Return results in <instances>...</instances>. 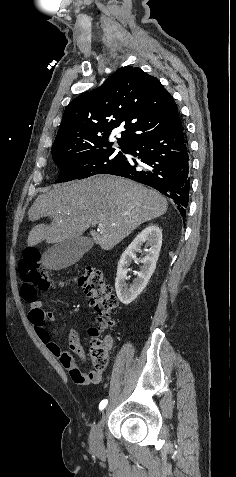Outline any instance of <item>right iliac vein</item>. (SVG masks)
Listing matches in <instances>:
<instances>
[{
	"label": "right iliac vein",
	"mask_w": 236,
	"mask_h": 477,
	"mask_svg": "<svg viewBox=\"0 0 236 477\" xmlns=\"http://www.w3.org/2000/svg\"><path fill=\"white\" fill-rule=\"evenodd\" d=\"M108 409L104 408L102 412V417L100 421L92 428L89 436V443L90 447L93 452L99 453L102 452L104 449L103 444V433H102V425L104 424L106 417H107Z\"/></svg>",
	"instance_id": "right-iliac-vein-1"
}]
</instances>
